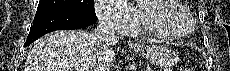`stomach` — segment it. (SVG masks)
<instances>
[{"label":"stomach","instance_id":"0dacf381","mask_svg":"<svg viewBox=\"0 0 230 71\" xmlns=\"http://www.w3.org/2000/svg\"><path fill=\"white\" fill-rule=\"evenodd\" d=\"M142 56L151 63L167 68L176 63L178 57L175 52L164 45H149L137 50Z\"/></svg>","mask_w":230,"mask_h":71}]
</instances>
